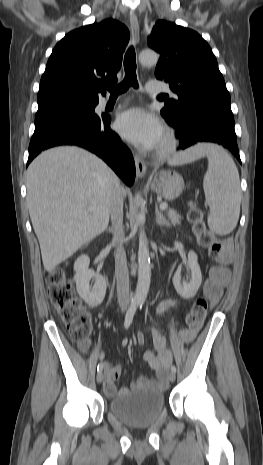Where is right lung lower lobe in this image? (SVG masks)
<instances>
[{
  "mask_svg": "<svg viewBox=\"0 0 263 465\" xmlns=\"http://www.w3.org/2000/svg\"><path fill=\"white\" fill-rule=\"evenodd\" d=\"M110 122V116L75 112H54L35 118L27 166L42 150L59 145H76L98 155L131 186L135 180L133 156L110 129Z\"/></svg>",
  "mask_w": 263,
  "mask_h": 465,
  "instance_id": "right-lung-lower-lobe-1",
  "label": "right lung lower lobe"
}]
</instances>
